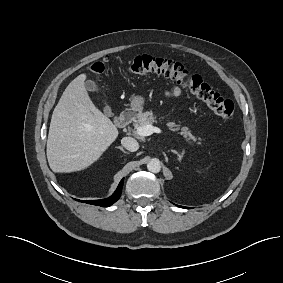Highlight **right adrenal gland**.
Returning <instances> with one entry per match:
<instances>
[{
    "instance_id": "obj_1",
    "label": "right adrenal gland",
    "mask_w": 283,
    "mask_h": 283,
    "mask_svg": "<svg viewBox=\"0 0 283 283\" xmlns=\"http://www.w3.org/2000/svg\"><path fill=\"white\" fill-rule=\"evenodd\" d=\"M116 148L120 149L123 153H128V152H126V151L124 150V148H123L122 146H118V147H116Z\"/></svg>"
}]
</instances>
